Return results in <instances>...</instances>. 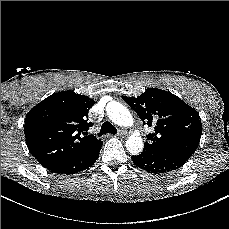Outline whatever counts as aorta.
Listing matches in <instances>:
<instances>
[{"instance_id":"aorta-1","label":"aorta","mask_w":229,"mask_h":229,"mask_svg":"<svg viewBox=\"0 0 229 229\" xmlns=\"http://www.w3.org/2000/svg\"><path fill=\"white\" fill-rule=\"evenodd\" d=\"M106 111L112 122L119 126L130 127L134 123V119L130 111L117 101L109 102L107 104ZM126 148L133 155H137L142 152L143 140L140 137L139 132L129 136L126 141Z\"/></svg>"}]
</instances>
